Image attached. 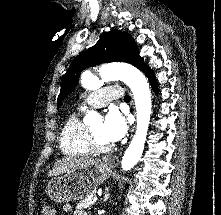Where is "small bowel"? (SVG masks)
I'll return each mask as SVG.
<instances>
[{
  "mask_svg": "<svg viewBox=\"0 0 221 215\" xmlns=\"http://www.w3.org/2000/svg\"><path fill=\"white\" fill-rule=\"evenodd\" d=\"M62 210L65 212V213H69L71 212L72 210V207L70 204L66 203L62 206ZM73 215H87L84 211H80V210H77L73 213Z\"/></svg>",
  "mask_w": 221,
  "mask_h": 215,
  "instance_id": "obj_1",
  "label": "small bowel"
}]
</instances>
